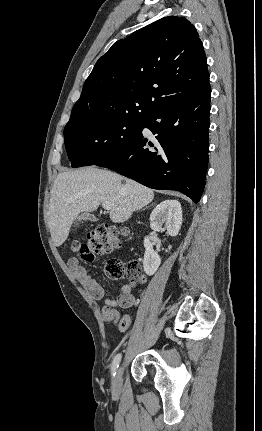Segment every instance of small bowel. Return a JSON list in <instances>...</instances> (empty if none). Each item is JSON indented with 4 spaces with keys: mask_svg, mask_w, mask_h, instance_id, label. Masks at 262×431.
I'll use <instances>...</instances> for the list:
<instances>
[{
    "mask_svg": "<svg viewBox=\"0 0 262 431\" xmlns=\"http://www.w3.org/2000/svg\"><path fill=\"white\" fill-rule=\"evenodd\" d=\"M68 266L73 271L77 281L85 288L92 298L96 300H104V314L119 317L116 309L117 307L130 308L137 306L139 301L132 293V285L122 286L116 300L108 299L105 298L104 287L94 277H92L86 268L79 265L76 258H69ZM119 330L124 331L122 329Z\"/></svg>",
    "mask_w": 262,
    "mask_h": 431,
    "instance_id": "small-bowel-1",
    "label": "small bowel"
}]
</instances>
